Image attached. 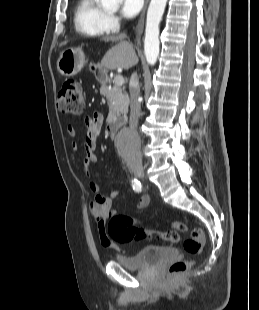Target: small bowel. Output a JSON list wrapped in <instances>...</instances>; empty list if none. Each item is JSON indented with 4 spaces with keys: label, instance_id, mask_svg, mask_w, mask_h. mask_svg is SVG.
<instances>
[{
    "label": "small bowel",
    "instance_id": "c3829d8e",
    "mask_svg": "<svg viewBox=\"0 0 259 310\" xmlns=\"http://www.w3.org/2000/svg\"><path fill=\"white\" fill-rule=\"evenodd\" d=\"M103 124V115L99 112L93 113L85 119V134L83 137V149L85 156L82 160L81 173L88 178V187L93 194V199L90 202L89 210L94 218L96 229L99 235L102 246L114 251H120L119 246L115 243L108 234L106 220L116 214L112 209V200L110 197L104 196L99 192V185L92 179L91 165L96 162V142L100 134ZM67 134L70 138H76V131L72 126L67 127ZM71 148L73 151L79 150L77 142H72ZM149 204V198L142 196L138 203V209H144Z\"/></svg>",
    "mask_w": 259,
    "mask_h": 310
}]
</instances>
